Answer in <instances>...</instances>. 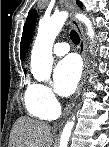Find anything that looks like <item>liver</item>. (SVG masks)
Masks as SVG:
<instances>
[{"instance_id": "1", "label": "liver", "mask_w": 109, "mask_h": 147, "mask_svg": "<svg viewBox=\"0 0 109 147\" xmlns=\"http://www.w3.org/2000/svg\"><path fill=\"white\" fill-rule=\"evenodd\" d=\"M51 126L45 122L21 117L12 127L8 147H51Z\"/></svg>"}]
</instances>
